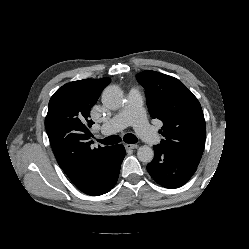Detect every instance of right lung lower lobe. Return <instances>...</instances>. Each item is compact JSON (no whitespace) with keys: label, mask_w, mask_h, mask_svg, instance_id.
I'll return each instance as SVG.
<instances>
[{"label":"right lung lower lobe","mask_w":249,"mask_h":249,"mask_svg":"<svg viewBox=\"0 0 249 249\" xmlns=\"http://www.w3.org/2000/svg\"><path fill=\"white\" fill-rule=\"evenodd\" d=\"M111 158L102 169L92 176L90 183L81 191L91 196L109 192L116 184L120 166L125 156L123 145L111 146Z\"/></svg>","instance_id":"1"}]
</instances>
